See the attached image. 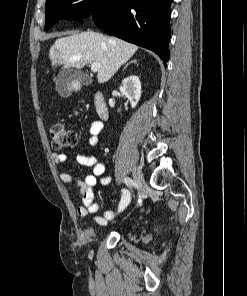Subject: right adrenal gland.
Here are the masks:
<instances>
[{"label":"right adrenal gland","mask_w":247,"mask_h":296,"mask_svg":"<svg viewBox=\"0 0 247 296\" xmlns=\"http://www.w3.org/2000/svg\"><path fill=\"white\" fill-rule=\"evenodd\" d=\"M136 62H137L136 60H132V61H130L129 63H127V64L124 66L123 69H126V68L128 67L129 64H131V63H136Z\"/></svg>","instance_id":"right-adrenal-gland-1"}]
</instances>
